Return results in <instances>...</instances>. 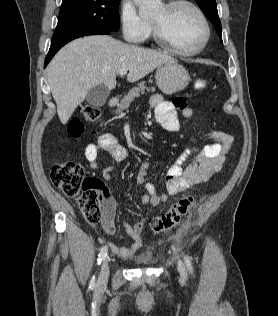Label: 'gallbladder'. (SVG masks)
I'll list each match as a JSON object with an SVG mask.
<instances>
[{
	"label": "gallbladder",
	"mask_w": 278,
	"mask_h": 316,
	"mask_svg": "<svg viewBox=\"0 0 278 316\" xmlns=\"http://www.w3.org/2000/svg\"><path fill=\"white\" fill-rule=\"evenodd\" d=\"M109 93L110 91L105 85L99 84L88 91L86 102L92 107H101L106 103Z\"/></svg>",
	"instance_id": "obj_1"
}]
</instances>
